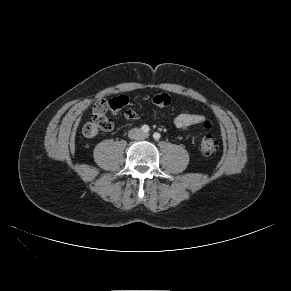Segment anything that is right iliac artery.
<instances>
[{
  "label": "right iliac artery",
  "instance_id": "82829eb1",
  "mask_svg": "<svg viewBox=\"0 0 291 291\" xmlns=\"http://www.w3.org/2000/svg\"><path fill=\"white\" fill-rule=\"evenodd\" d=\"M141 129H142V131L145 132V133H148L149 130H150V128H149L148 125H143Z\"/></svg>",
  "mask_w": 291,
  "mask_h": 291
}]
</instances>
